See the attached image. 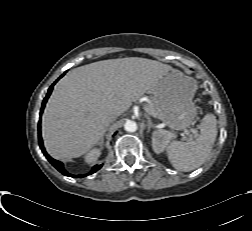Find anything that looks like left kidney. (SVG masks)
I'll return each mask as SVG.
<instances>
[{"label": "left kidney", "mask_w": 252, "mask_h": 231, "mask_svg": "<svg viewBox=\"0 0 252 231\" xmlns=\"http://www.w3.org/2000/svg\"><path fill=\"white\" fill-rule=\"evenodd\" d=\"M171 137H172L171 133L167 131L164 130L155 131L152 136L153 150L158 154L163 152Z\"/></svg>", "instance_id": "1"}]
</instances>
